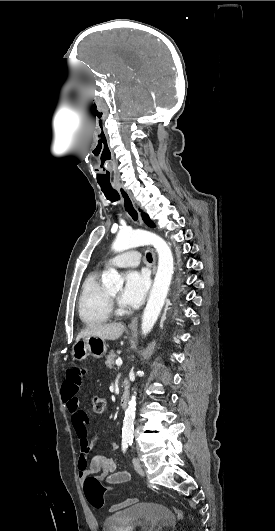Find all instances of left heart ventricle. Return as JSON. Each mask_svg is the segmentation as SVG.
Segmentation results:
<instances>
[{"label": "left heart ventricle", "instance_id": "left-heart-ventricle-1", "mask_svg": "<svg viewBox=\"0 0 275 531\" xmlns=\"http://www.w3.org/2000/svg\"><path fill=\"white\" fill-rule=\"evenodd\" d=\"M109 293H111V294L114 295V296H117V295L120 293V289H118V290H116V291H111V292H109Z\"/></svg>", "mask_w": 275, "mask_h": 531}]
</instances>
